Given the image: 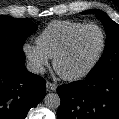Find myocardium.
Listing matches in <instances>:
<instances>
[{
    "mask_svg": "<svg viewBox=\"0 0 119 119\" xmlns=\"http://www.w3.org/2000/svg\"><path fill=\"white\" fill-rule=\"evenodd\" d=\"M88 28H96L99 30V32L101 34V45H100L99 51L97 52L96 56L93 58V60L84 69H82L79 72H76L73 74H61V73H59L58 69H57L58 62L60 61V59L65 54L68 53V51L72 47L75 39L78 37V35ZM105 47H106V35H105L103 28L100 27L98 24H95V23L84 24L83 26H81L80 28L75 30L70 35V37L67 39L65 44L62 46V48L53 57V67L60 74V76L65 80L76 81V80L82 79V78L86 77L95 68V66L98 64V62L100 61V59H101V57L105 51Z\"/></svg>",
    "mask_w": 119,
    "mask_h": 119,
    "instance_id": "obj_1",
    "label": "myocardium"
}]
</instances>
